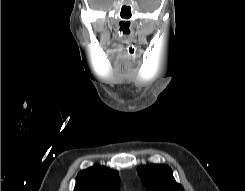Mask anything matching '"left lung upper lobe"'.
I'll use <instances>...</instances> for the list:
<instances>
[{
	"label": "left lung upper lobe",
	"instance_id": "obj_1",
	"mask_svg": "<svg viewBox=\"0 0 245 191\" xmlns=\"http://www.w3.org/2000/svg\"><path fill=\"white\" fill-rule=\"evenodd\" d=\"M138 174L149 191H184L175 181L172 170L167 165H146L138 169Z\"/></svg>",
	"mask_w": 245,
	"mask_h": 191
}]
</instances>
